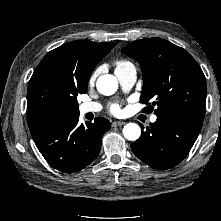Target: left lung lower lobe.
I'll list each match as a JSON object with an SVG mask.
<instances>
[{
	"label": "left lung lower lobe",
	"mask_w": 221,
	"mask_h": 221,
	"mask_svg": "<svg viewBox=\"0 0 221 221\" xmlns=\"http://www.w3.org/2000/svg\"><path fill=\"white\" fill-rule=\"evenodd\" d=\"M202 124L203 119L189 115L157 116L156 122L131 144V149L140 160L155 169L172 168L189 153Z\"/></svg>",
	"instance_id": "obj_1"
}]
</instances>
